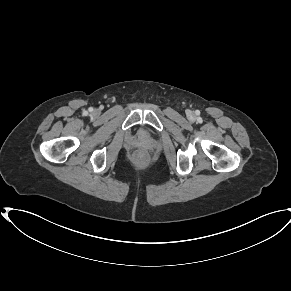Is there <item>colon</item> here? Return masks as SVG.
<instances>
[{"mask_svg":"<svg viewBox=\"0 0 291 291\" xmlns=\"http://www.w3.org/2000/svg\"><path fill=\"white\" fill-rule=\"evenodd\" d=\"M144 153H140V154H138L137 155V158L139 159V160H141V159H143L144 158Z\"/></svg>","mask_w":291,"mask_h":291,"instance_id":"5ec220e1","label":"colon"}]
</instances>
